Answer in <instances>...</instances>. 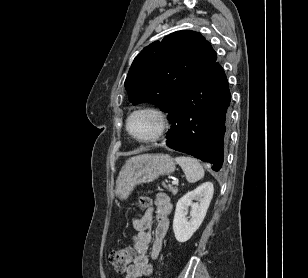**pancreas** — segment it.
<instances>
[{
  "label": "pancreas",
  "instance_id": "cf45deb5",
  "mask_svg": "<svg viewBox=\"0 0 308 278\" xmlns=\"http://www.w3.org/2000/svg\"><path fill=\"white\" fill-rule=\"evenodd\" d=\"M164 188L168 189L173 194H176L178 192V189L176 187H173L172 185H166L165 183L162 184Z\"/></svg>",
  "mask_w": 308,
  "mask_h": 278
}]
</instances>
